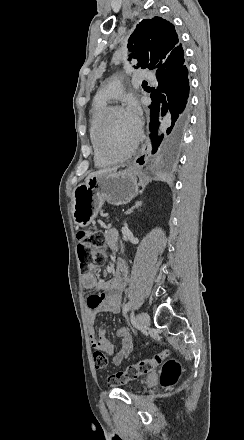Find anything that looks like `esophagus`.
<instances>
[{
  "label": "esophagus",
  "instance_id": "esophagus-1",
  "mask_svg": "<svg viewBox=\"0 0 244 440\" xmlns=\"http://www.w3.org/2000/svg\"><path fill=\"white\" fill-rule=\"evenodd\" d=\"M151 153V144L149 138L144 142L139 154L135 157L132 166L142 168L146 165L149 155Z\"/></svg>",
  "mask_w": 244,
  "mask_h": 440
}]
</instances>
